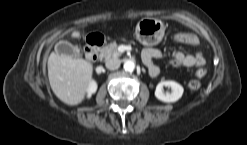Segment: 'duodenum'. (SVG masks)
Listing matches in <instances>:
<instances>
[{"instance_id":"410a0bca","label":"duodenum","mask_w":247,"mask_h":145,"mask_svg":"<svg viewBox=\"0 0 247 145\" xmlns=\"http://www.w3.org/2000/svg\"><path fill=\"white\" fill-rule=\"evenodd\" d=\"M104 43V37L101 35L90 36L87 40L85 55L89 60L95 61L98 58L99 48Z\"/></svg>"}]
</instances>
